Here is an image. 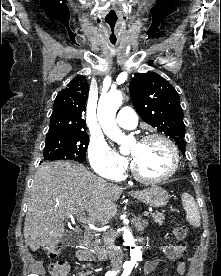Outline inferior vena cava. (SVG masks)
Here are the masks:
<instances>
[{
  "mask_svg": "<svg viewBox=\"0 0 221 276\" xmlns=\"http://www.w3.org/2000/svg\"><path fill=\"white\" fill-rule=\"evenodd\" d=\"M114 241L115 239L111 232L103 234V242L108 250L111 264L114 268H118L122 264V251L119 247L115 246Z\"/></svg>",
  "mask_w": 221,
  "mask_h": 276,
  "instance_id": "obj_1",
  "label": "inferior vena cava"
}]
</instances>
